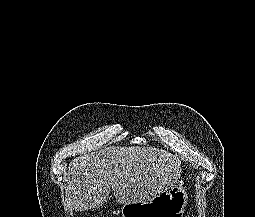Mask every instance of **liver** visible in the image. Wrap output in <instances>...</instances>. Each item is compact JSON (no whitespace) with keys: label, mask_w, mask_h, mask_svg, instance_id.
<instances>
[{"label":"liver","mask_w":255,"mask_h":217,"mask_svg":"<svg viewBox=\"0 0 255 217\" xmlns=\"http://www.w3.org/2000/svg\"><path fill=\"white\" fill-rule=\"evenodd\" d=\"M181 160L165 150L113 146L74 158L66 173L65 207L83 212L110 194L120 204L145 202L175 185Z\"/></svg>","instance_id":"obj_1"}]
</instances>
